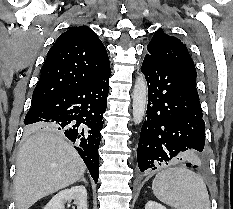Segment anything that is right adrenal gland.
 Returning <instances> with one entry per match:
<instances>
[{
    "label": "right adrenal gland",
    "instance_id": "right-adrenal-gland-1",
    "mask_svg": "<svg viewBox=\"0 0 233 209\" xmlns=\"http://www.w3.org/2000/svg\"><path fill=\"white\" fill-rule=\"evenodd\" d=\"M80 181H83L85 184H88L87 180L84 178V176H82V178L79 180Z\"/></svg>",
    "mask_w": 233,
    "mask_h": 209
}]
</instances>
